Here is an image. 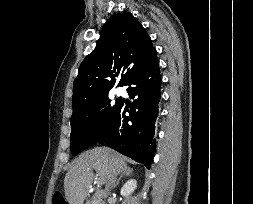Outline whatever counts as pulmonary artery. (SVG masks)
<instances>
[{"label":"pulmonary artery","instance_id":"1","mask_svg":"<svg viewBox=\"0 0 253 204\" xmlns=\"http://www.w3.org/2000/svg\"><path fill=\"white\" fill-rule=\"evenodd\" d=\"M115 94H116V95H121V94H122V90H121V89H117V90L115 91Z\"/></svg>","mask_w":253,"mask_h":204}]
</instances>
